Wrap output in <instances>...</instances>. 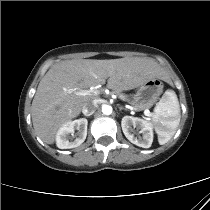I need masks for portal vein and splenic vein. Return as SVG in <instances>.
<instances>
[{
    "label": "portal vein and splenic vein",
    "instance_id": "obj_1",
    "mask_svg": "<svg viewBox=\"0 0 210 210\" xmlns=\"http://www.w3.org/2000/svg\"><path fill=\"white\" fill-rule=\"evenodd\" d=\"M77 94L81 96H85L88 94L98 95L99 91L98 90H82V91L77 92Z\"/></svg>",
    "mask_w": 210,
    "mask_h": 210
}]
</instances>
